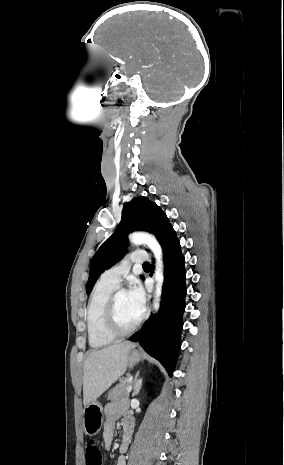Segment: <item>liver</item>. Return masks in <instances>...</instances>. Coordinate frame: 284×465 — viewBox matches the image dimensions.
I'll return each instance as SVG.
<instances>
[{
  "mask_svg": "<svg viewBox=\"0 0 284 465\" xmlns=\"http://www.w3.org/2000/svg\"><path fill=\"white\" fill-rule=\"evenodd\" d=\"M135 349L134 343H118L101 351L88 353L83 365V405L97 401L127 369L129 351Z\"/></svg>",
  "mask_w": 284,
  "mask_h": 465,
  "instance_id": "liver-1",
  "label": "liver"
}]
</instances>
